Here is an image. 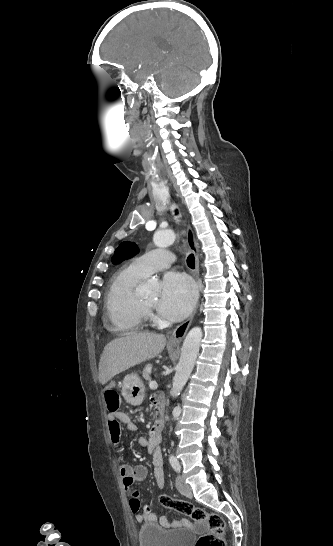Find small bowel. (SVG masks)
I'll list each match as a JSON object with an SVG mask.
<instances>
[{
    "instance_id": "small-bowel-1",
    "label": "small bowel",
    "mask_w": 333,
    "mask_h": 546,
    "mask_svg": "<svg viewBox=\"0 0 333 546\" xmlns=\"http://www.w3.org/2000/svg\"><path fill=\"white\" fill-rule=\"evenodd\" d=\"M106 388L105 391L107 393H110L112 389H114L117 386V381L114 378H109L106 381ZM151 402L153 404V407L155 409L156 416L163 414V398L160 395H155L152 397ZM107 424H108V430L110 434V438L114 443H117L120 437V430H121V424L126 425L128 430L130 431H136L137 425L129 418V416L123 412L116 411L111 412L107 414ZM119 431V435H117ZM161 438H155L152 433L150 434L149 438L146 437H139L137 439V443L141 446L146 448L150 453H152L153 457V475L155 483L158 487H162L164 485V470H163V458H162V452L160 448L158 447V444L160 443ZM147 468L144 465H135L132 466L130 464H122L119 467V474L122 478L123 484L127 490V492L131 495V500L129 502L130 510L135 515V520L139 523L141 522H152L159 524L162 527H169V526H181L185 523V520H180L176 522H169V520L162 516L158 518L155 513L152 512L151 508L149 506H146L143 508V510L140 509V501L137 498V494L134 490V483L136 481H141L146 478L147 476Z\"/></svg>"
}]
</instances>
